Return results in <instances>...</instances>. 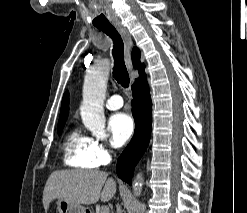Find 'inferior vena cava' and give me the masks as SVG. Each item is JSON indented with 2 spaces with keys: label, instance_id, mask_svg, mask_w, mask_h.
<instances>
[{
  "label": "inferior vena cava",
  "instance_id": "1",
  "mask_svg": "<svg viewBox=\"0 0 247 213\" xmlns=\"http://www.w3.org/2000/svg\"><path fill=\"white\" fill-rule=\"evenodd\" d=\"M117 213H122L120 205H117Z\"/></svg>",
  "mask_w": 247,
  "mask_h": 213
}]
</instances>
